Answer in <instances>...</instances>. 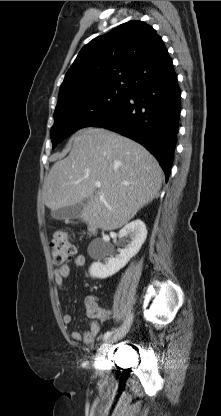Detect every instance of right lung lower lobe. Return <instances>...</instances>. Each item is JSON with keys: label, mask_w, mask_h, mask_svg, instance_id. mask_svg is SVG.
<instances>
[{"label": "right lung lower lobe", "mask_w": 221, "mask_h": 416, "mask_svg": "<svg viewBox=\"0 0 221 416\" xmlns=\"http://www.w3.org/2000/svg\"><path fill=\"white\" fill-rule=\"evenodd\" d=\"M180 99L173 69L166 78L134 87L108 120L93 127L107 128L142 144L159 161L167 181L177 142Z\"/></svg>", "instance_id": "right-lung-lower-lobe-1"}]
</instances>
